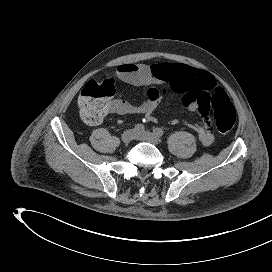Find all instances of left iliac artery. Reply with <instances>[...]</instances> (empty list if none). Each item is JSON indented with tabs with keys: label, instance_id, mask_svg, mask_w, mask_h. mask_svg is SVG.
I'll use <instances>...</instances> for the list:
<instances>
[{
	"label": "left iliac artery",
	"instance_id": "left-iliac-artery-1",
	"mask_svg": "<svg viewBox=\"0 0 272 272\" xmlns=\"http://www.w3.org/2000/svg\"><path fill=\"white\" fill-rule=\"evenodd\" d=\"M154 135L157 137H162L164 135V131L161 128H155L153 130Z\"/></svg>",
	"mask_w": 272,
	"mask_h": 272
}]
</instances>
